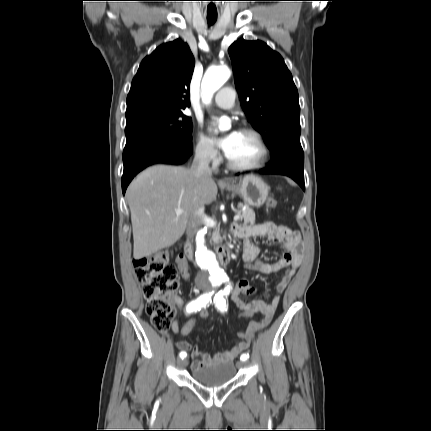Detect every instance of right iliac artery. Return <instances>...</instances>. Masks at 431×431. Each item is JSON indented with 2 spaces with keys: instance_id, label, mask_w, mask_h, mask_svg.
<instances>
[{
  "instance_id": "1",
  "label": "right iliac artery",
  "mask_w": 431,
  "mask_h": 431,
  "mask_svg": "<svg viewBox=\"0 0 431 431\" xmlns=\"http://www.w3.org/2000/svg\"><path fill=\"white\" fill-rule=\"evenodd\" d=\"M212 294H213V292L204 293L200 297H198L197 299L189 302L188 305L186 306V312L187 313L197 312L202 307H205L207 304H209L211 302ZM186 355L187 354L185 352H180V354H179L181 359H184L186 357Z\"/></svg>"
}]
</instances>
